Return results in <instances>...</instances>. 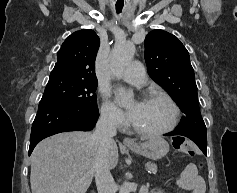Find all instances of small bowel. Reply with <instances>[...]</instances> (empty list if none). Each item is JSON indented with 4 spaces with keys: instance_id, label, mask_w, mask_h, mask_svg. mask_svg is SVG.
I'll use <instances>...</instances> for the list:
<instances>
[{
    "instance_id": "small-bowel-1",
    "label": "small bowel",
    "mask_w": 237,
    "mask_h": 193,
    "mask_svg": "<svg viewBox=\"0 0 237 193\" xmlns=\"http://www.w3.org/2000/svg\"><path fill=\"white\" fill-rule=\"evenodd\" d=\"M176 185L179 191L185 193H205L204 181L198 175L196 166L192 163L186 165L177 179ZM141 193H148V190L143 188Z\"/></svg>"
}]
</instances>
